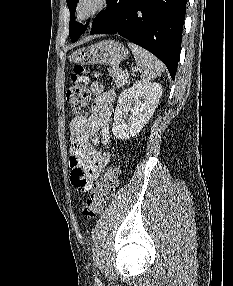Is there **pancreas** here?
Instances as JSON below:
<instances>
[{"label":"pancreas","mask_w":233,"mask_h":286,"mask_svg":"<svg viewBox=\"0 0 233 286\" xmlns=\"http://www.w3.org/2000/svg\"><path fill=\"white\" fill-rule=\"evenodd\" d=\"M109 75L114 79L117 87H123L125 84L129 83L128 77L124 76V71L118 68H110L108 70Z\"/></svg>","instance_id":"cf45deb5"}]
</instances>
